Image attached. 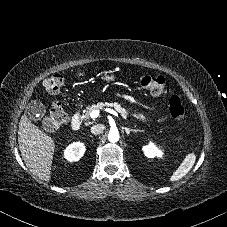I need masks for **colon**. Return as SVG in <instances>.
<instances>
[{"label": "colon", "instance_id": "colon-1", "mask_svg": "<svg viewBox=\"0 0 227 227\" xmlns=\"http://www.w3.org/2000/svg\"><path fill=\"white\" fill-rule=\"evenodd\" d=\"M64 83V76L61 73H54L45 80L44 86L49 93L57 94ZM136 83L152 95L169 97V112L172 119L176 122L184 120L185 107L178 96L172 95L163 76L141 75L136 79ZM67 121L68 115L63 105L59 102H54L42 126L46 131L54 132L62 128Z\"/></svg>", "mask_w": 227, "mask_h": 227}]
</instances>
